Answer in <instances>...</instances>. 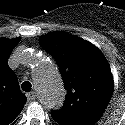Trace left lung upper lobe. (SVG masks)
Instances as JSON below:
<instances>
[{
    "instance_id": "obj_1",
    "label": "left lung upper lobe",
    "mask_w": 125,
    "mask_h": 125,
    "mask_svg": "<svg viewBox=\"0 0 125 125\" xmlns=\"http://www.w3.org/2000/svg\"><path fill=\"white\" fill-rule=\"evenodd\" d=\"M56 60L67 91L60 110L51 115L59 125H95L112 97L114 81L109 64L90 42L63 32L39 39Z\"/></svg>"
}]
</instances>
